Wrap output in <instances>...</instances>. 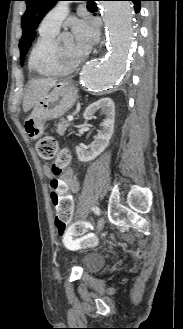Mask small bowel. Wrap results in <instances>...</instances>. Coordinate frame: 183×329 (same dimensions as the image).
Wrapping results in <instances>:
<instances>
[{
	"mask_svg": "<svg viewBox=\"0 0 183 329\" xmlns=\"http://www.w3.org/2000/svg\"><path fill=\"white\" fill-rule=\"evenodd\" d=\"M45 171L51 175L49 167L46 166ZM46 187L52 208H54V218H75L78 205L75 193L79 190V184L72 174L67 172L64 178H48ZM80 240L81 238L68 237L62 242L66 248L75 250L78 248Z\"/></svg>",
	"mask_w": 183,
	"mask_h": 329,
	"instance_id": "obj_1",
	"label": "small bowel"
}]
</instances>
